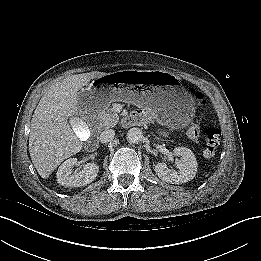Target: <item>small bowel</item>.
<instances>
[{"label": "small bowel", "mask_w": 261, "mask_h": 261, "mask_svg": "<svg viewBox=\"0 0 261 261\" xmlns=\"http://www.w3.org/2000/svg\"><path fill=\"white\" fill-rule=\"evenodd\" d=\"M144 117V113L142 110L135 111L129 119L130 123H138Z\"/></svg>", "instance_id": "small-bowel-1"}]
</instances>
